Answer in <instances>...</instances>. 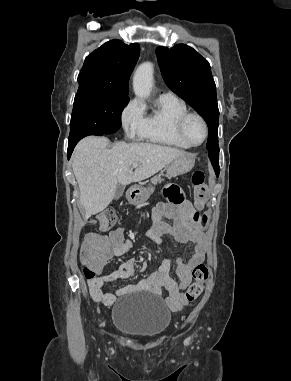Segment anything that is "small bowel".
<instances>
[{"mask_svg":"<svg viewBox=\"0 0 291 381\" xmlns=\"http://www.w3.org/2000/svg\"><path fill=\"white\" fill-rule=\"evenodd\" d=\"M168 195L179 199L172 203H159L153 211V225L147 233L148 238L154 243L161 245L166 236H172L180 243H191L192 248L186 261L177 259L176 274L178 280L171 275L172 260L166 259L158 271L135 284L120 288L117 295L148 291L155 295H161L165 289L168 296L165 300L167 307L172 311L181 310L186 304L185 291L192 281V269L203 262L206 250V239L201 231L193 225L192 215L194 208L187 201L180 199L179 190L170 188ZM171 221L172 224L168 223ZM133 239L125 238L124 229L118 227L108 235L89 232L85 235L83 247H90L99 252H104L108 257L122 256L133 248ZM134 259H128L121 266L106 275L88 279L89 292L92 299L104 306H111L115 295L105 291L103 286L107 282L127 279L133 275Z\"/></svg>","mask_w":291,"mask_h":381,"instance_id":"obj_1","label":"small bowel"}]
</instances>
